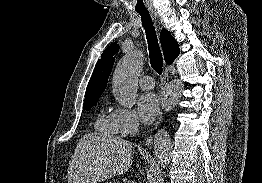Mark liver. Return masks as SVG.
<instances>
[{"mask_svg": "<svg viewBox=\"0 0 262 183\" xmlns=\"http://www.w3.org/2000/svg\"><path fill=\"white\" fill-rule=\"evenodd\" d=\"M132 165V143L106 133L83 135L68 166V183H97Z\"/></svg>", "mask_w": 262, "mask_h": 183, "instance_id": "1", "label": "liver"}]
</instances>
